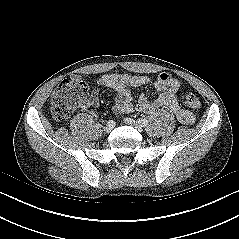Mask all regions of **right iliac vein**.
Listing matches in <instances>:
<instances>
[{
    "mask_svg": "<svg viewBox=\"0 0 239 239\" xmlns=\"http://www.w3.org/2000/svg\"><path fill=\"white\" fill-rule=\"evenodd\" d=\"M114 128V126H110V125H106V127L104 128V132L105 133H110L112 131V129Z\"/></svg>",
    "mask_w": 239,
    "mask_h": 239,
    "instance_id": "63e3f726",
    "label": "right iliac vein"
}]
</instances>
